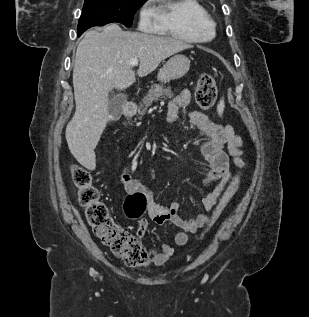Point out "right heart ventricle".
<instances>
[{
	"instance_id": "e07e8e85",
	"label": "right heart ventricle",
	"mask_w": 309,
	"mask_h": 317,
	"mask_svg": "<svg viewBox=\"0 0 309 317\" xmlns=\"http://www.w3.org/2000/svg\"><path fill=\"white\" fill-rule=\"evenodd\" d=\"M157 31L190 43L213 39L215 22L198 0H157Z\"/></svg>"
}]
</instances>
